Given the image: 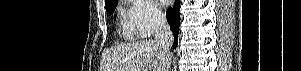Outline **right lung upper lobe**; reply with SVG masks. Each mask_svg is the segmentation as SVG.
Returning a JSON list of instances; mask_svg holds the SVG:
<instances>
[{"mask_svg":"<svg viewBox=\"0 0 301 71\" xmlns=\"http://www.w3.org/2000/svg\"><path fill=\"white\" fill-rule=\"evenodd\" d=\"M111 1H114V0H105V4L111 2Z\"/></svg>","mask_w":301,"mask_h":71,"instance_id":"1","label":"right lung upper lobe"}]
</instances>
